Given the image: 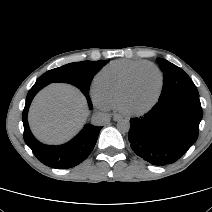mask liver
<instances>
[{
    "label": "liver",
    "mask_w": 212,
    "mask_h": 212,
    "mask_svg": "<svg viewBox=\"0 0 212 212\" xmlns=\"http://www.w3.org/2000/svg\"><path fill=\"white\" fill-rule=\"evenodd\" d=\"M88 116L84 96L68 84H51L33 100L29 111L34 135L49 144L72 138Z\"/></svg>",
    "instance_id": "liver-1"
}]
</instances>
